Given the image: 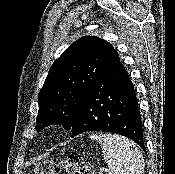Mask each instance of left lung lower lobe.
I'll return each mask as SVG.
<instances>
[{"label": "left lung lower lobe", "instance_id": "obj_1", "mask_svg": "<svg viewBox=\"0 0 175 174\" xmlns=\"http://www.w3.org/2000/svg\"><path fill=\"white\" fill-rule=\"evenodd\" d=\"M70 128L72 136L88 131L120 134L135 141L146 152L138 99L121 62L83 96Z\"/></svg>", "mask_w": 175, "mask_h": 174}]
</instances>
